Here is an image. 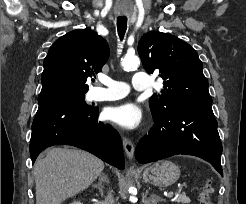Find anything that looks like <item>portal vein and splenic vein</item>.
Instances as JSON below:
<instances>
[{
  "label": "portal vein and splenic vein",
  "mask_w": 246,
  "mask_h": 204,
  "mask_svg": "<svg viewBox=\"0 0 246 204\" xmlns=\"http://www.w3.org/2000/svg\"><path fill=\"white\" fill-rule=\"evenodd\" d=\"M168 195H169V197H172L174 195V193L170 192Z\"/></svg>",
  "instance_id": "1"
}]
</instances>
